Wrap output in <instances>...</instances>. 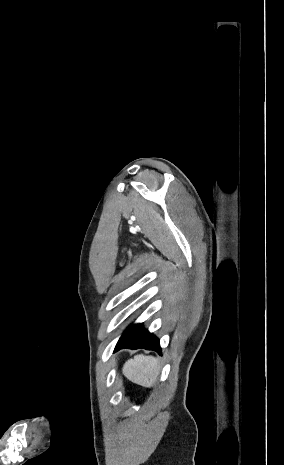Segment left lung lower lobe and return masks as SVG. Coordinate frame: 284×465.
<instances>
[{"instance_id": "0a47b994", "label": "left lung lower lobe", "mask_w": 284, "mask_h": 465, "mask_svg": "<svg viewBox=\"0 0 284 465\" xmlns=\"http://www.w3.org/2000/svg\"><path fill=\"white\" fill-rule=\"evenodd\" d=\"M122 348H144L161 354L159 339L143 328L142 324L130 326L120 337L114 352Z\"/></svg>"}]
</instances>
